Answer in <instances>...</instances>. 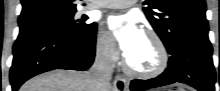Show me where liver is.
I'll return each instance as SVG.
<instances>
[{
    "label": "liver",
    "mask_w": 220,
    "mask_h": 91,
    "mask_svg": "<svg viewBox=\"0 0 220 91\" xmlns=\"http://www.w3.org/2000/svg\"><path fill=\"white\" fill-rule=\"evenodd\" d=\"M108 87L106 91H115ZM20 91H93L88 72L54 70L31 78Z\"/></svg>",
    "instance_id": "1"
}]
</instances>
